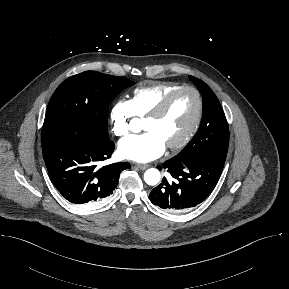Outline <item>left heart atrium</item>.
Segmentation results:
<instances>
[{
    "mask_svg": "<svg viewBox=\"0 0 289 289\" xmlns=\"http://www.w3.org/2000/svg\"><path fill=\"white\" fill-rule=\"evenodd\" d=\"M165 147L158 135L148 131L122 139L118 144V151L122 158L145 163L160 157Z\"/></svg>",
    "mask_w": 289,
    "mask_h": 289,
    "instance_id": "obj_1",
    "label": "left heart atrium"
}]
</instances>
